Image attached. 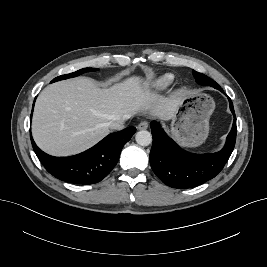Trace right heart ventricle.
I'll return each mask as SVG.
<instances>
[{
  "label": "right heart ventricle",
  "mask_w": 267,
  "mask_h": 267,
  "mask_svg": "<svg viewBox=\"0 0 267 267\" xmlns=\"http://www.w3.org/2000/svg\"><path fill=\"white\" fill-rule=\"evenodd\" d=\"M174 77L171 74H164L151 82V86L157 90H163L167 88L173 82Z\"/></svg>",
  "instance_id": "e07e8e85"
}]
</instances>
